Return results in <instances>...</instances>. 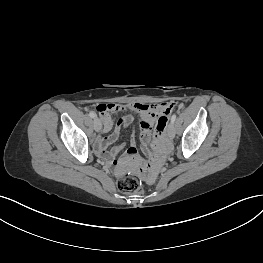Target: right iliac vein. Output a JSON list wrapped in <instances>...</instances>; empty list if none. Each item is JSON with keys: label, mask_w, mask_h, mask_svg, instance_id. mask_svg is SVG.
<instances>
[{"label": "right iliac vein", "mask_w": 263, "mask_h": 263, "mask_svg": "<svg viewBox=\"0 0 263 263\" xmlns=\"http://www.w3.org/2000/svg\"><path fill=\"white\" fill-rule=\"evenodd\" d=\"M102 128V124L99 118L95 117L94 118V129L96 132H99Z\"/></svg>", "instance_id": "obj_1"}]
</instances>
